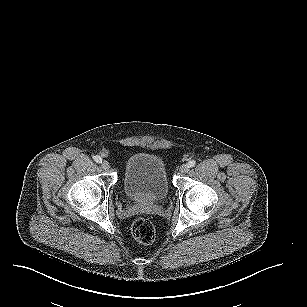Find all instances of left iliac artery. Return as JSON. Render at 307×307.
Segmentation results:
<instances>
[{
  "mask_svg": "<svg viewBox=\"0 0 307 307\" xmlns=\"http://www.w3.org/2000/svg\"><path fill=\"white\" fill-rule=\"evenodd\" d=\"M196 165V161L195 160H191L188 162V166L189 167H194Z\"/></svg>",
  "mask_w": 307,
  "mask_h": 307,
  "instance_id": "44dca946",
  "label": "left iliac artery"
}]
</instances>
